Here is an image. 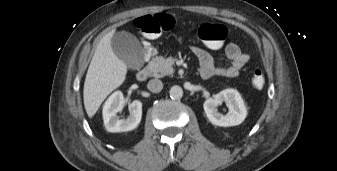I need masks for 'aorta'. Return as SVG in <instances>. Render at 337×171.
Instances as JSON below:
<instances>
[{
    "mask_svg": "<svg viewBox=\"0 0 337 171\" xmlns=\"http://www.w3.org/2000/svg\"><path fill=\"white\" fill-rule=\"evenodd\" d=\"M169 94L172 99H181L183 96V90L180 86L174 85L171 87Z\"/></svg>",
    "mask_w": 337,
    "mask_h": 171,
    "instance_id": "1",
    "label": "aorta"
}]
</instances>
